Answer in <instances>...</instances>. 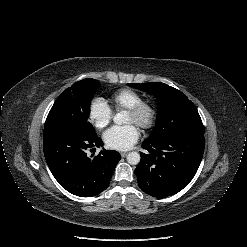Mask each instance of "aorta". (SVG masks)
<instances>
[{"label":"aorta","instance_id":"1","mask_svg":"<svg viewBox=\"0 0 247 247\" xmlns=\"http://www.w3.org/2000/svg\"><path fill=\"white\" fill-rule=\"evenodd\" d=\"M114 123L121 125L127 122V112L120 111L113 117ZM127 162L131 165H136L140 162V154L138 152H130L127 155Z\"/></svg>","mask_w":247,"mask_h":247}]
</instances>
